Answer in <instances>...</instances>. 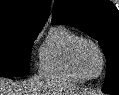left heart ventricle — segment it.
I'll list each match as a JSON object with an SVG mask.
<instances>
[{"mask_svg": "<svg viewBox=\"0 0 119 95\" xmlns=\"http://www.w3.org/2000/svg\"><path fill=\"white\" fill-rule=\"evenodd\" d=\"M78 61L82 70L90 75L95 76L101 68V58L98 51L90 44H84L79 50Z\"/></svg>", "mask_w": 119, "mask_h": 95, "instance_id": "left-heart-ventricle-1", "label": "left heart ventricle"}]
</instances>
